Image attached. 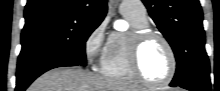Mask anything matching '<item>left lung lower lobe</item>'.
Instances as JSON below:
<instances>
[{
	"mask_svg": "<svg viewBox=\"0 0 220 91\" xmlns=\"http://www.w3.org/2000/svg\"><path fill=\"white\" fill-rule=\"evenodd\" d=\"M170 86L172 87L179 86L190 91H210L211 90L210 79H206V78L192 79L180 85L170 84Z\"/></svg>",
	"mask_w": 220,
	"mask_h": 91,
	"instance_id": "0a47b994",
	"label": "left lung lower lobe"
}]
</instances>
